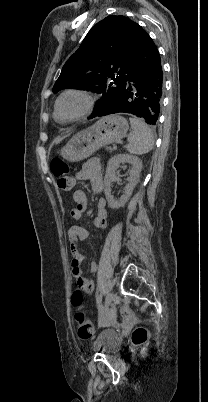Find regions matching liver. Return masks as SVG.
<instances>
[{"instance_id":"6515ba94","label":"liver","mask_w":208,"mask_h":402,"mask_svg":"<svg viewBox=\"0 0 208 402\" xmlns=\"http://www.w3.org/2000/svg\"><path fill=\"white\" fill-rule=\"evenodd\" d=\"M64 138H67V136H58V138H55V140H53L52 144H60V142H62V140H64Z\"/></svg>"}]
</instances>
